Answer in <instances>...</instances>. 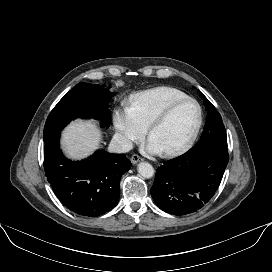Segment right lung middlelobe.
I'll return each mask as SVG.
<instances>
[{"instance_id": "1", "label": "right lung middle lobe", "mask_w": 272, "mask_h": 272, "mask_svg": "<svg viewBox=\"0 0 272 272\" xmlns=\"http://www.w3.org/2000/svg\"><path fill=\"white\" fill-rule=\"evenodd\" d=\"M113 93L102 89L100 85L81 82L72 88L53 108L44 127V142H48L71 120L76 118H94L101 125H110L109 102Z\"/></svg>"}]
</instances>
